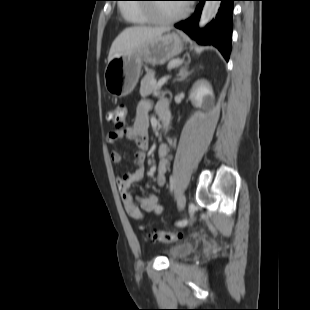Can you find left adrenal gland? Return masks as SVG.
I'll list each match as a JSON object with an SVG mask.
<instances>
[{
	"instance_id": "1",
	"label": "left adrenal gland",
	"mask_w": 310,
	"mask_h": 310,
	"mask_svg": "<svg viewBox=\"0 0 310 310\" xmlns=\"http://www.w3.org/2000/svg\"><path fill=\"white\" fill-rule=\"evenodd\" d=\"M192 73L191 72H188V67L185 66V67H182L179 71V77L177 78V81H183L185 80L190 74Z\"/></svg>"
}]
</instances>
